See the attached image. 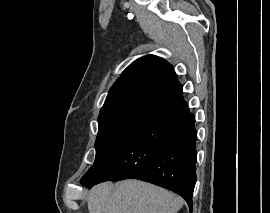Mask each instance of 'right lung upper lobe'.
<instances>
[{
  "label": "right lung upper lobe",
  "instance_id": "1",
  "mask_svg": "<svg viewBox=\"0 0 270 213\" xmlns=\"http://www.w3.org/2000/svg\"><path fill=\"white\" fill-rule=\"evenodd\" d=\"M181 91L173 67L155 55H146L130 64L113 84L100 114L131 103L157 105Z\"/></svg>",
  "mask_w": 270,
  "mask_h": 213
}]
</instances>
